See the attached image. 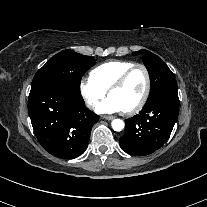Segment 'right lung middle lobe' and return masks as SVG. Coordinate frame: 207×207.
I'll use <instances>...</instances> for the list:
<instances>
[{
  "label": "right lung middle lobe",
  "instance_id": "dd1d6c3e",
  "mask_svg": "<svg viewBox=\"0 0 207 207\" xmlns=\"http://www.w3.org/2000/svg\"><path fill=\"white\" fill-rule=\"evenodd\" d=\"M95 61L90 56H84L72 50L59 52L37 71L31 88L40 85H56L81 96V78L95 64Z\"/></svg>",
  "mask_w": 207,
  "mask_h": 207
}]
</instances>
